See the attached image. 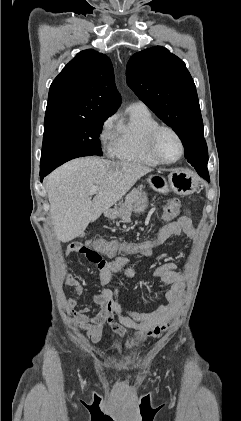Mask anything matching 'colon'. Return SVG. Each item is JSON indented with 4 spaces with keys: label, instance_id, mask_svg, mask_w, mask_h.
Returning <instances> with one entry per match:
<instances>
[{
    "label": "colon",
    "instance_id": "5ec220e1",
    "mask_svg": "<svg viewBox=\"0 0 241 421\" xmlns=\"http://www.w3.org/2000/svg\"><path fill=\"white\" fill-rule=\"evenodd\" d=\"M181 207L179 199H171L162 210V219L166 224L171 223L178 215ZM162 244L160 236H153L141 242L123 241H86L74 242L69 245L72 253L84 254L87 259L98 266L106 263L105 255L116 256L122 254H144L152 252L153 249Z\"/></svg>",
    "mask_w": 241,
    "mask_h": 421
}]
</instances>
